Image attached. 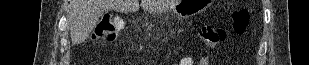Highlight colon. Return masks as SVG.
<instances>
[{
    "mask_svg": "<svg viewBox=\"0 0 309 65\" xmlns=\"http://www.w3.org/2000/svg\"><path fill=\"white\" fill-rule=\"evenodd\" d=\"M250 23V13L246 9H240L233 13L231 18L232 32L241 35L247 30ZM125 22L122 17L116 15L105 16L100 24L96 37L102 43L110 44L115 41L118 32L124 27ZM202 42L210 48L216 47L227 37V31L217 25H203L199 30Z\"/></svg>",
    "mask_w": 309,
    "mask_h": 65,
    "instance_id": "obj_1",
    "label": "colon"
}]
</instances>
